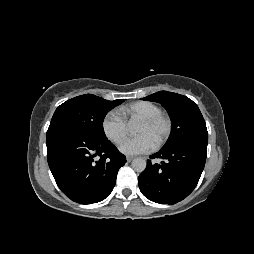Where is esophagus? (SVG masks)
<instances>
[{"label": "esophagus", "instance_id": "esophagus-1", "mask_svg": "<svg viewBox=\"0 0 254 254\" xmlns=\"http://www.w3.org/2000/svg\"><path fill=\"white\" fill-rule=\"evenodd\" d=\"M126 160H127V162H131V161L133 160V157L128 156V157L126 158Z\"/></svg>", "mask_w": 254, "mask_h": 254}]
</instances>
